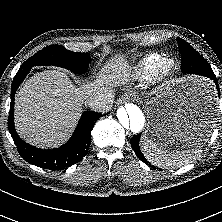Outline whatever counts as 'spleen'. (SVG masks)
I'll use <instances>...</instances> for the list:
<instances>
[{"mask_svg":"<svg viewBox=\"0 0 222 222\" xmlns=\"http://www.w3.org/2000/svg\"><path fill=\"white\" fill-rule=\"evenodd\" d=\"M142 151L147 160L160 168L181 167L190 163L201 151L200 149L168 148L144 137L141 142Z\"/></svg>","mask_w":222,"mask_h":222,"instance_id":"obj_1","label":"spleen"}]
</instances>
